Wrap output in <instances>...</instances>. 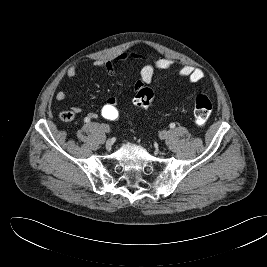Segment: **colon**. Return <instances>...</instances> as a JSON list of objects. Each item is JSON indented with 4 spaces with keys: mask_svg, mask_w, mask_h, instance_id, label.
Masks as SVG:
<instances>
[{
    "mask_svg": "<svg viewBox=\"0 0 267 267\" xmlns=\"http://www.w3.org/2000/svg\"><path fill=\"white\" fill-rule=\"evenodd\" d=\"M136 105L144 108H149L154 103V92L151 88L141 86L138 88L134 98ZM212 112V103L205 95L199 94L195 97L194 101V116L198 126H203L209 119ZM98 115L108 121L116 122L120 118V108L118 102L107 99L99 108ZM63 121H71L73 113L71 111H64L60 115Z\"/></svg>",
    "mask_w": 267,
    "mask_h": 267,
    "instance_id": "obj_1",
    "label": "colon"
}]
</instances>
